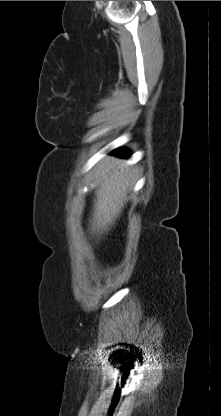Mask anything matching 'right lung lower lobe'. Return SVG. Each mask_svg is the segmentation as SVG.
<instances>
[{"instance_id":"right-lung-lower-lobe-1","label":"right lung lower lobe","mask_w":221,"mask_h":416,"mask_svg":"<svg viewBox=\"0 0 221 416\" xmlns=\"http://www.w3.org/2000/svg\"><path fill=\"white\" fill-rule=\"evenodd\" d=\"M117 150H115V152H116ZM118 153L120 154V155H122V156H126V157H129L130 156V153L128 152V151H126V150H121V149H119L118 150Z\"/></svg>"}]
</instances>
